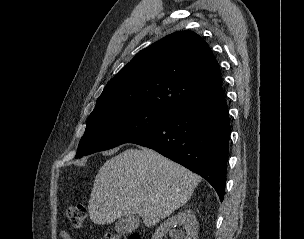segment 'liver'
Masks as SVG:
<instances>
[{"label": "liver", "mask_w": 304, "mask_h": 239, "mask_svg": "<svg viewBox=\"0 0 304 239\" xmlns=\"http://www.w3.org/2000/svg\"><path fill=\"white\" fill-rule=\"evenodd\" d=\"M201 177L148 148H130L100 168L90 195L89 216L110 224L139 215L146 227L184 205Z\"/></svg>", "instance_id": "6515ba94"}]
</instances>
